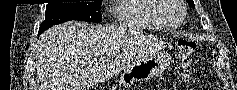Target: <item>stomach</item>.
<instances>
[{
	"label": "stomach",
	"instance_id": "obj_1",
	"mask_svg": "<svg viewBox=\"0 0 237 90\" xmlns=\"http://www.w3.org/2000/svg\"><path fill=\"white\" fill-rule=\"evenodd\" d=\"M169 64V57L167 55H159L142 60L121 74L120 84L128 88L136 82L148 81L164 72Z\"/></svg>",
	"mask_w": 237,
	"mask_h": 90
}]
</instances>
